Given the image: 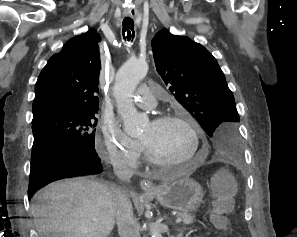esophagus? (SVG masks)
<instances>
[{
  "mask_svg": "<svg viewBox=\"0 0 297 237\" xmlns=\"http://www.w3.org/2000/svg\"><path fill=\"white\" fill-rule=\"evenodd\" d=\"M130 16L134 17L135 14H130ZM140 186H141L142 190H144V191H155L156 190L153 182L149 179L141 180Z\"/></svg>",
  "mask_w": 297,
  "mask_h": 237,
  "instance_id": "obj_1",
  "label": "esophagus"
}]
</instances>
